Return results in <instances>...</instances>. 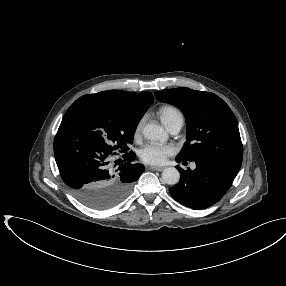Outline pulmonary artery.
<instances>
[{
  "mask_svg": "<svg viewBox=\"0 0 286 286\" xmlns=\"http://www.w3.org/2000/svg\"><path fill=\"white\" fill-rule=\"evenodd\" d=\"M184 123L183 116H178L174 118L166 127L170 133L175 134L180 131ZM196 167L195 163L191 164V168L194 169Z\"/></svg>",
  "mask_w": 286,
  "mask_h": 286,
  "instance_id": "pulmonary-artery-1",
  "label": "pulmonary artery"
}]
</instances>
